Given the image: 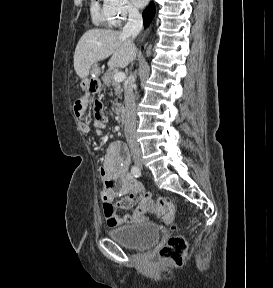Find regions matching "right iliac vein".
Segmentation results:
<instances>
[{"label":"right iliac vein","instance_id":"right-iliac-vein-1","mask_svg":"<svg viewBox=\"0 0 273 288\" xmlns=\"http://www.w3.org/2000/svg\"><path fill=\"white\" fill-rule=\"evenodd\" d=\"M135 162L137 165L141 166L143 164V160L141 158H136Z\"/></svg>","mask_w":273,"mask_h":288}]
</instances>
